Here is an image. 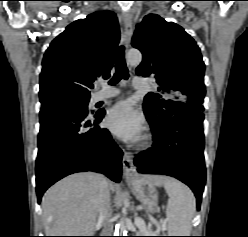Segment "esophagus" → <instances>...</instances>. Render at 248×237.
Instances as JSON below:
<instances>
[{"label": "esophagus", "instance_id": "obj_1", "mask_svg": "<svg viewBox=\"0 0 248 237\" xmlns=\"http://www.w3.org/2000/svg\"><path fill=\"white\" fill-rule=\"evenodd\" d=\"M122 19L125 28L124 43L125 46L128 47L133 32L132 14L129 11L123 12ZM122 168L123 176L126 181L132 180L136 177V170L131 152L124 151Z\"/></svg>", "mask_w": 248, "mask_h": 237}]
</instances>
